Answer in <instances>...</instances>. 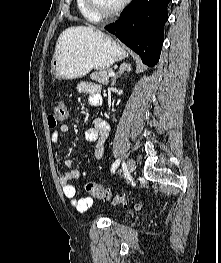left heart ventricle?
Wrapping results in <instances>:
<instances>
[{"label":"left heart ventricle","instance_id":"left-heart-ventricle-1","mask_svg":"<svg viewBox=\"0 0 221 263\" xmlns=\"http://www.w3.org/2000/svg\"><path fill=\"white\" fill-rule=\"evenodd\" d=\"M122 0H94L95 4L103 11L115 9Z\"/></svg>","mask_w":221,"mask_h":263}]
</instances>
